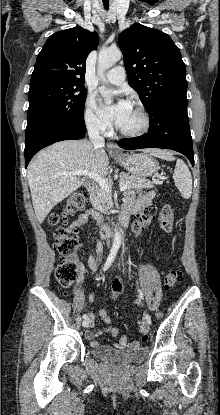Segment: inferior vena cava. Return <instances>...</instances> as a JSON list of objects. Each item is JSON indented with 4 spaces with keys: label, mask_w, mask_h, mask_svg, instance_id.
<instances>
[{
    "label": "inferior vena cava",
    "mask_w": 220,
    "mask_h": 415,
    "mask_svg": "<svg viewBox=\"0 0 220 415\" xmlns=\"http://www.w3.org/2000/svg\"><path fill=\"white\" fill-rule=\"evenodd\" d=\"M88 136L95 149L102 148L105 145L104 138L100 135L99 125L92 123L88 125Z\"/></svg>",
    "instance_id": "1"
}]
</instances>
